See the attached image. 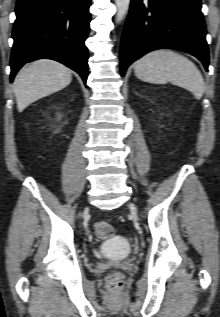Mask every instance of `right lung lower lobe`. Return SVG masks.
<instances>
[{
  "label": "right lung lower lobe",
  "mask_w": 220,
  "mask_h": 317,
  "mask_svg": "<svg viewBox=\"0 0 220 317\" xmlns=\"http://www.w3.org/2000/svg\"><path fill=\"white\" fill-rule=\"evenodd\" d=\"M91 0H17L11 54L12 82L27 62L48 58L88 77L84 45L91 21Z\"/></svg>",
  "instance_id": "obj_1"
}]
</instances>
